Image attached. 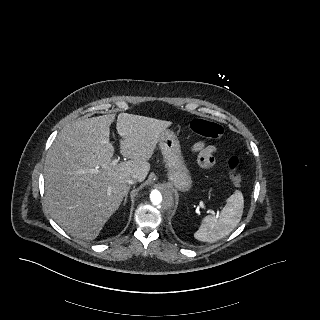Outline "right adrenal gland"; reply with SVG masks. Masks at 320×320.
Here are the masks:
<instances>
[{
	"label": "right adrenal gland",
	"instance_id": "right-adrenal-gland-1",
	"mask_svg": "<svg viewBox=\"0 0 320 320\" xmlns=\"http://www.w3.org/2000/svg\"><path fill=\"white\" fill-rule=\"evenodd\" d=\"M127 198H128V193L126 194V196H125V198H124L123 206H125V205H126Z\"/></svg>",
	"mask_w": 320,
	"mask_h": 320
}]
</instances>
